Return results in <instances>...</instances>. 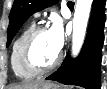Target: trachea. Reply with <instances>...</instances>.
I'll list each match as a JSON object with an SVG mask.
<instances>
[{"label":"trachea","instance_id":"3493384b","mask_svg":"<svg viewBox=\"0 0 107 89\" xmlns=\"http://www.w3.org/2000/svg\"><path fill=\"white\" fill-rule=\"evenodd\" d=\"M67 5H68V6H73L74 3H73V2H68Z\"/></svg>","mask_w":107,"mask_h":89}]
</instances>
